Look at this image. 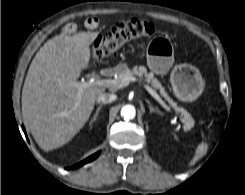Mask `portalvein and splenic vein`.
Segmentation results:
<instances>
[{"instance_id":"obj_1","label":"portal vein and splenic vein","mask_w":245,"mask_h":195,"mask_svg":"<svg viewBox=\"0 0 245 195\" xmlns=\"http://www.w3.org/2000/svg\"><path fill=\"white\" fill-rule=\"evenodd\" d=\"M131 81H139L143 84L144 88L151 94V96L158 101L161 106L170 111L169 106L161 99V97L146 83L142 82V80L137 79L136 77H126L122 80L121 83H118L115 79H90L86 82H83L85 85H97V86H105V87H114V88H122L127 86Z\"/></svg>"}]
</instances>
